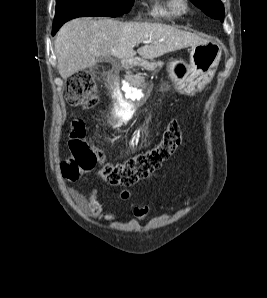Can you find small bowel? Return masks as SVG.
I'll use <instances>...</instances> for the list:
<instances>
[{"mask_svg": "<svg viewBox=\"0 0 267 298\" xmlns=\"http://www.w3.org/2000/svg\"><path fill=\"white\" fill-rule=\"evenodd\" d=\"M130 196L129 191L123 190L120 194L121 199L126 200ZM75 201L90 215L94 217H104L107 220H113L115 218L112 214H105L101 205L97 200L96 190H91L89 196L86 198L78 192L73 193ZM149 212V207H135L132 211L135 218L141 220L147 216Z\"/></svg>", "mask_w": 267, "mask_h": 298, "instance_id": "c3829d8e", "label": "small bowel"}]
</instances>
